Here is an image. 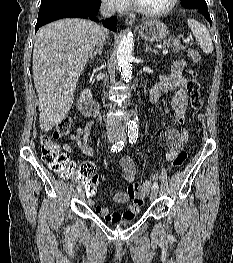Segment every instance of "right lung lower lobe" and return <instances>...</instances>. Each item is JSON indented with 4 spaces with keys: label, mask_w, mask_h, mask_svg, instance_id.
<instances>
[{
    "label": "right lung lower lobe",
    "mask_w": 233,
    "mask_h": 263,
    "mask_svg": "<svg viewBox=\"0 0 233 263\" xmlns=\"http://www.w3.org/2000/svg\"><path fill=\"white\" fill-rule=\"evenodd\" d=\"M100 5H101V0H82L77 4L76 9L73 10L70 14L57 16L40 23L37 22L35 26V32L44 24L65 17L90 18L91 20L98 21L95 15L99 11ZM103 25L112 31H117L116 28L117 17L113 16L109 19L104 20Z\"/></svg>",
    "instance_id": "right-lung-lower-lobe-1"
}]
</instances>
